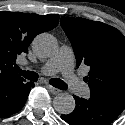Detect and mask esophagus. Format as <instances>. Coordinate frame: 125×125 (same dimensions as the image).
<instances>
[{"label":"esophagus","mask_w":125,"mask_h":125,"mask_svg":"<svg viewBox=\"0 0 125 125\" xmlns=\"http://www.w3.org/2000/svg\"><path fill=\"white\" fill-rule=\"evenodd\" d=\"M47 88L49 89V91H50L52 94H58V93L61 92L60 89H57V88H55V87H53V86H51V85H47Z\"/></svg>","instance_id":"1"}]
</instances>
